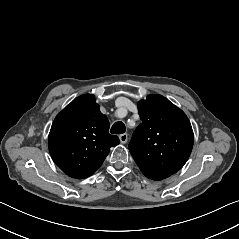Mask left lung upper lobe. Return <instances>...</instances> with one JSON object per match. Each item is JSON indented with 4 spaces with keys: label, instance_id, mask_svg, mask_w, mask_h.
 I'll return each mask as SVG.
<instances>
[{
    "label": "left lung upper lobe",
    "instance_id": "5c2ea615",
    "mask_svg": "<svg viewBox=\"0 0 239 239\" xmlns=\"http://www.w3.org/2000/svg\"><path fill=\"white\" fill-rule=\"evenodd\" d=\"M142 123L128 149L142 173L171 176L179 171L192 151L194 134L185 113L161 95L138 102Z\"/></svg>",
    "mask_w": 239,
    "mask_h": 239
}]
</instances>
